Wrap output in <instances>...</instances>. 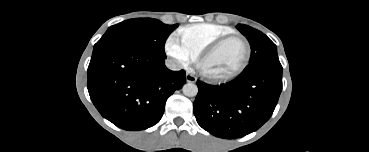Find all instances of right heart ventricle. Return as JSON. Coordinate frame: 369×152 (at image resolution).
Segmentation results:
<instances>
[{
	"label": "right heart ventricle",
	"mask_w": 369,
	"mask_h": 152,
	"mask_svg": "<svg viewBox=\"0 0 369 152\" xmlns=\"http://www.w3.org/2000/svg\"><path fill=\"white\" fill-rule=\"evenodd\" d=\"M233 33H235V30L229 26L215 23H197L181 28L179 30V37L196 57H198L215 40Z\"/></svg>",
	"instance_id": "obj_1"
}]
</instances>
